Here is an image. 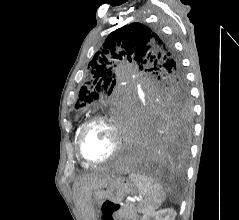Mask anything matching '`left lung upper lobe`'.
<instances>
[{
    "label": "left lung upper lobe",
    "mask_w": 239,
    "mask_h": 220,
    "mask_svg": "<svg viewBox=\"0 0 239 220\" xmlns=\"http://www.w3.org/2000/svg\"><path fill=\"white\" fill-rule=\"evenodd\" d=\"M124 59L136 61L141 70L155 76L149 86L141 87L140 94L136 89L133 95L131 87H123L117 81V69ZM87 71L75 104L77 109L102 99L103 108L116 114L134 108L179 112L184 118L191 114L185 73L178 56L160 32L146 25L132 23L112 32L94 54ZM129 95L135 99H129Z\"/></svg>",
    "instance_id": "1"
}]
</instances>
